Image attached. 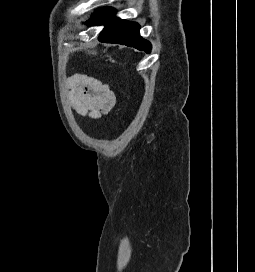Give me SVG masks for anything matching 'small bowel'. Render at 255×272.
<instances>
[{
	"label": "small bowel",
	"mask_w": 255,
	"mask_h": 272,
	"mask_svg": "<svg viewBox=\"0 0 255 272\" xmlns=\"http://www.w3.org/2000/svg\"><path fill=\"white\" fill-rule=\"evenodd\" d=\"M71 108L82 116L99 118L107 114L116 103V96L108 82L83 73L68 78Z\"/></svg>",
	"instance_id": "1"
}]
</instances>
